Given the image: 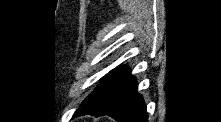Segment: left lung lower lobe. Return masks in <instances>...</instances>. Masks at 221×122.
<instances>
[{
	"label": "left lung lower lobe",
	"mask_w": 221,
	"mask_h": 122,
	"mask_svg": "<svg viewBox=\"0 0 221 122\" xmlns=\"http://www.w3.org/2000/svg\"><path fill=\"white\" fill-rule=\"evenodd\" d=\"M84 114L108 115L118 122H147L145 103L137 93V81L130 76L128 67L121 66L112 71L73 117Z\"/></svg>",
	"instance_id": "1"
}]
</instances>
